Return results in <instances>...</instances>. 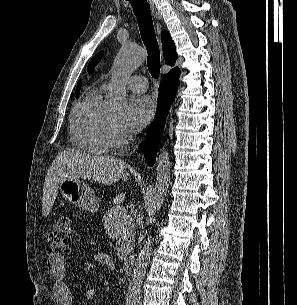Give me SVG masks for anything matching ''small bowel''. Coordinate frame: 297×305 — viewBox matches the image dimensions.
<instances>
[{"label": "small bowel", "instance_id": "c3829d8e", "mask_svg": "<svg viewBox=\"0 0 297 305\" xmlns=\"http://www.w3.org/2000/svg\"><path fill=\"white\" fill-rule=\"evenodd\" d=\"M95 261L105 265L111 270L115 269L113 260L106 254L99 253L95 256ZM47 265L53 280V292L59 305H76L73 293L67 282L66 262L62 254L53 253L47 257ZM96 289L91 288L86 296L92 299L96 295Z\"/></svg>", "mask_w": 297, "mask_h": 305}]
</instances>
